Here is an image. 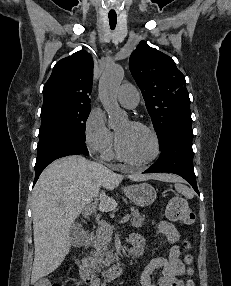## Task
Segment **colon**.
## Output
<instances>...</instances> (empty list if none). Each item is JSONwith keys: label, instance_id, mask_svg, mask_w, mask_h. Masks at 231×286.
<instances>
[{"label": "colon", "instance_id": "obj_1", "mask_svg": "<svg viewBox=\"0 0 231 286\" xmlns=\"http://www.w3.org/2000/svg\"><path fill=\"white\" fill-rule=\"evenodd\" d=\"M166 214L169 219L174 221H179L187 225L192 224L195 220L194 213L189 207L187 201L184 198L178 196L172 197L168 201L166 207ZM183 246L186 250H188L190 248V242L185 240L183 242ZM185 260L186 263L190 265L188 269V274L191 276L193 274V268L191 267V264L193 262L192 255L187 254ZM34 286H59V285L48 278H43L37 281ZM186 286H195V283L192 279H189L186 283Z\"/></svg>", "mask_w": 231, "mask_h": 286}]
</instances>
